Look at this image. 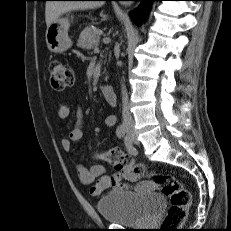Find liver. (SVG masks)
I'll use <instances>...</instances> for the list:
<instances>
[{"label": "liver", "mask_w": 231, "mask_h": 231, "mask_svg": "<svg viewBox=\"0 0 231 231\" xmlns=\"http://www.w3.org/2000/svg\"><path fill=\"white\" fill-rule=\"evenodd\" d=\"M104 5L103 1H48L45 6L47 27L60 15L74 10L95 9Z\"/></svg>", "instance_id": "liver-1"}]
</instances>
